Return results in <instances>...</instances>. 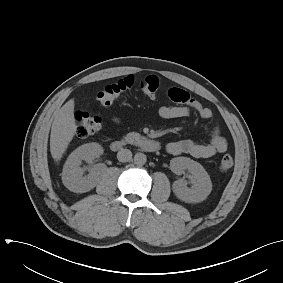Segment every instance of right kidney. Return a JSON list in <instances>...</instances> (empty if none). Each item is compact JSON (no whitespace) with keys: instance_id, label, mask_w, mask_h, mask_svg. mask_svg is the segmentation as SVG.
I'll return each mask as SVG.
<instances>
[{"instance_id":"1","label":"right kidney","mask_w":283,"mask_h":283,"mask_svg":"<svg viewBox=\"0 0 283 283\" xmlns=\"http://www.w3.org/2000/svg\"><path fill=\"white\" fill-rule=\"evenodd\" d=\"M103 153L98 143H88L78 147L68 157L62 172V182L66 188L75 193H84L93 189L100 175V167L95 166L87 176L80 167L82 160L90 163Z\"/></svg>"}]
</instances>
